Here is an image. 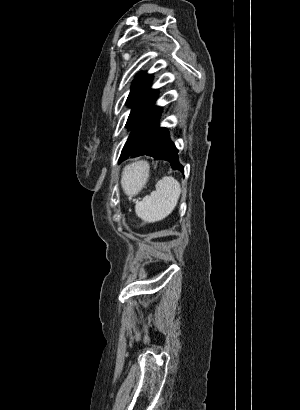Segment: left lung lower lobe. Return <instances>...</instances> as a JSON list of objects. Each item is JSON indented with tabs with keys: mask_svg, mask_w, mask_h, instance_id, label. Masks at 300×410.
<instances>
[{
	"mask_svg": "<svg viewBox=\"0 0 300 410\" xmlns=\"http://www.w3.org/2000/svg\"><path fill=\"white\" fill-rule=\"evenodd\" d=\"M148 155L157 160H166L172 169L184 171L183 166L178 161V150L169 138L166 128L158 127L149 140L137 149L131 157Z\"/></svg>",
	"mask_w": 300,
	"mask_h": 410,
	"instance_id": "0a47b994",
	"label": "left lung lower lobe"
}]
</instances>
